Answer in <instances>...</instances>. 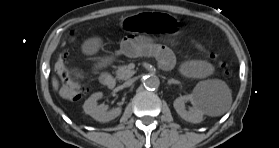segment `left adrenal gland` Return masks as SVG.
Listing matches in <instances>:
<instances>
[{
	"mask_svg": "<svg viewBox=\"0 0 279 148\" xmlns=\"http://www.w3.org/2000/svg\"><path fill=\"white\" fill-rule=\"evenodd\" d=\"M167 83H168L169 85H171V84H180V82L177 81V80H175V79H168V80H167Z\"/></svg>",
	"mask_w": 279,
	"mask_h": 148,
	"instance_id": "left-adrenal-gland-1",
	"label": "left adrenal gland"
}]
</instances>
